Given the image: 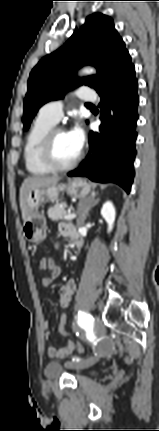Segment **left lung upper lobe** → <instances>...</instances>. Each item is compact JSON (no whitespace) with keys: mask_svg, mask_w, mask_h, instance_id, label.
I'll return each mask as SVG.
<instances>
[{"mask_svg":"<svg viewBox=\"0 0 159 431\" xmlns=\"http://www.w3.org/2000/svg\"><path fill=\"white\" fill-rule=\"evenodd\" d=\"M85 64L94 65L98 74L77 80L75 72ZM130 64V55L112 19L100 13L89 16L61 48L33 68L24 100V130L45 103L63 98L75 85H88L99 93Z\"/></svg>","mask_w":159,"mask_h":431,"instance_id":"obj_1","label":"left lung upper lobe"}]
</instances>
